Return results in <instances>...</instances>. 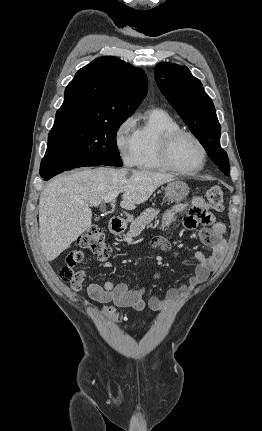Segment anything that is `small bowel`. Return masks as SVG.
Instances as JSON below:
<instances>
[{"label":"small bowel","instance_id":"small-bowel-1","mask_svg":"<svg viewBox=\"0 0 262 431\" xmlns=\"http://www.w3.org/2000/svg\"><path fill=\"white\" fill-rule=\"evenodd\" d=\"M186 208H192L194 212L184 219V225L189 229L202 225L204 228L200 231V238L212 250L210 255H205L199 250L195 252L197 259L195 273L189 278L187 283L168 291L165 301L160 300L155 293H149L147 301H145V288L130 289L128 284L124 282L113 283L108 280L104 281L103 284L88 283L86 286L88 296L103 304L107 311H111L114 308L143 310L146 306L153 310H161L166 305L182 301L195 287L204 282L209 274L218 268L226 254V226L209 210L206 200L203 197L197 196L188 203L168 209L161 219L162 230L170 229L176 220L177 214ZM156 246L164 251L170 249L169 244L165 240ZM71 288L76 292L80 291L81 284L74 283L71 285Z\"/></svg>","mask_w":262,"mask_h":431}]
</instances>
